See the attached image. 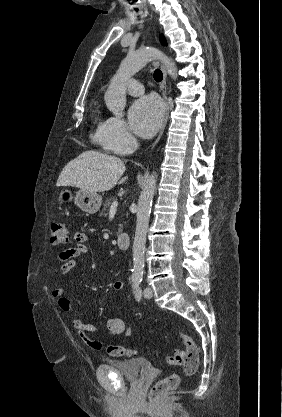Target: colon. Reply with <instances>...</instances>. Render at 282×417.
Returning <instances> with one entry per match:
<instances>
[{"mask_svg":"<svg viewBox=\"0 0 282 417\" xmlns=\"http://www.w3.org/2000/svg\"><path fill=\"white\" fill-rule=\"evenodd\" d=\"M69 231L66 225L62 222H53L51 229H50V241L52 244H65L69 240ZM176 330L175 327H172ZM182 340L183 346L185 349L188 350V358L186 359L185 363L186 366L185 371L182 372L186 375L193 374L197 369L199 365V347L193 340V338L185 333H182L180 331L175 332ZM108 353L110 355L115 356H131L132 349L131 347H115L110 348L108 350ZM183 357L180 350H175V355L170 359V364L173 366L181 367L179 360ZM180 378L178 375L173 374L165 377L164 379H156L155 384L152 385V389L147 390V397L149 403H166L167 402V395L166 393H171L172 388H176L179 385Z\"/></svg>","mask_w":282,"mask_h":417,"instance_id":"5ec220e1","label":"colon"}]
</instances>
